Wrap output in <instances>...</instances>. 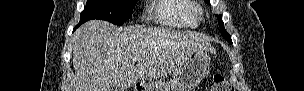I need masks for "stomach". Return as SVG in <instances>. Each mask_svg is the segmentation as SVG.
<instances>
[{"label":"stomach","instance_id":"1","mask_svg":"<svg viewBox=\"0 0 304 91\" xmlns=\"http://www.w3.org/2000/svg\"><path fill=\"white\" fill-rule=\"evenodd\" d=\"M209 69V53L196 51L174 71L172 79L166 85L145 87L143 91H192L207 76Z\"/></svg>","mask_w":304,"mask_h":91}]
</instances>
